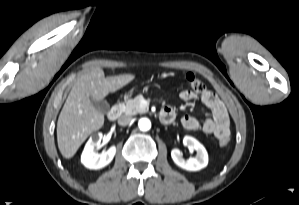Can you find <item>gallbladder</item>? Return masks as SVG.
<instances>
[{
  "label": "gallbladder",
  "mask_w": 299,
  "mask_h": 205,
  "mask_svg": "<svg viewBox=\"0 0 299 205\" xmlns=\"http://www.w3.org/2000/svg\"><path fill=\"white\" fill-rule=\"evenodd\" d=\"M92 105L101 113L106 114L110 110V105L106 100H95L90 98Z\"/></svg>",
  "instance_id": "1"
}]
</instances>
